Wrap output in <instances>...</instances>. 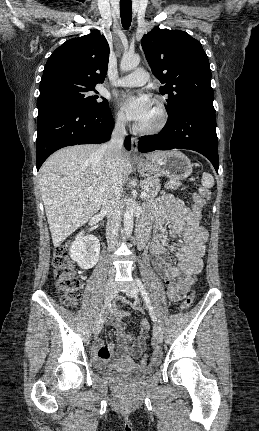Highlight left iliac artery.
<instances>
[{
	"label": "left iliac artery",
	"mask_w": 259,
	"mask_h": 431,
	"mask_svg": "<svg viewBox=\"0 0 259 431\" xmlns=\"http://www.w3.org/2000/svg\"><path fill=\"white\" fill-rule=\"evenodd\" d=\"M136 282H137V285H138V287H139V290H140V292H141V294H142L143 300L145 301V303H146V305H147V308H148V310H149L150 316H151V318H152L153 322H154V323H156V322H157V319H156V316H155V313H154L153 307H152V305H151L150 299H149V297H148V295H147V292H146V290H145V287H144V285L142 284V282H141L138 278H136Z\"/></svg>",
	"instance_id": "1"
}]
</instances>
